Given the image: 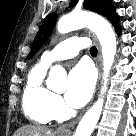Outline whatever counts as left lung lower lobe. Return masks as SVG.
Here are the masks:
<instances>
[{"label": "left lung lower lobe", "mask_w": 136, "mask_h": 136, "mask_svg": "<svg viewBox=\"0 0 136 136\" xmlns=\"http://www.w3.org/2000/svg\"><path fill=\"white\" fill-rule=\"evenodd\" d=\"M115 30H116L117 34L120 35L121 28H120L119 24L117 26H115Z\"/></svg>", "instance_id": "1"}]
</instances>
